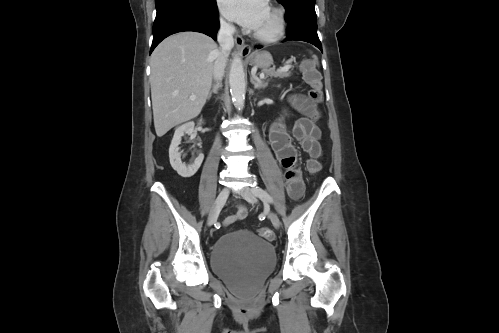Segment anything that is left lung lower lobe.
Masks as SVG:
<instances>
[{
	"label": "left lung lower lobe",
	"mask_w": 499,
	"mask_h": 333,
	"mask_svg": "<svg viewBox=\"0 0 499 333\" xmlns=\"http://www.w3.org/2000/svg\"><path fill=\"white\" fill-rule=\"evenodd\" d=\"M313 3L294 2L287 6L285 20L288 23L284 41L299 40L309 42L322 51L317 34L316 12ZM261 48V46H257Z\"/></svg>",
	"instance_id": "0a47b994"
}]
</instances>
